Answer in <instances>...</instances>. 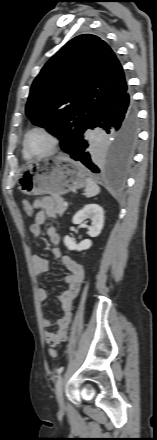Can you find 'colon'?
Returning <instances> with one entry per match:
<instances>
[{
	"label": "colon",
	"mask_w": 157,
	"mask_h": 440,
	"mask_svg": "<svg viewBox=\"0 0 157 440\" xmlns=\"http://www.w3.org/2000/svg\"><path fill=\"white\" fill-rule=\"evenodd\" d=\"M23 210L29 216H31L32 213H33V208H32L31 204L27 200L23 201ZM57 354L58 353H57L56 349H54V348L49 349V356L51 358H56Z\"/></svg>",
	"instance_id": "colon-1"
}]
</instances>
